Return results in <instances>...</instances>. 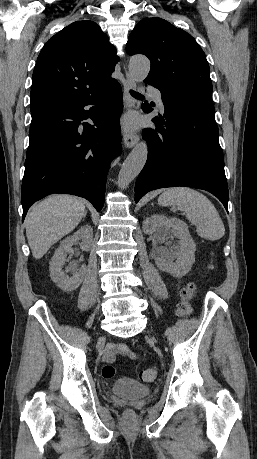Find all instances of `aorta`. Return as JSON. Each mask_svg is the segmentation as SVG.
<instances>
[{
	"instance_id": "762f6f07",
	"label": "aorta",
	"mask_w": 257,
	"mask_h": 459,
	"mask_svg": "<svg viewBox=\"0 0 257 459\" xmlns=\"http://www.w3.org/2000/svg\"><path fill=\"white\" fill-rule=\"evenodd\" d=\"M129 71L134 80L142 82L149 74L150 61L145 56H134L129 62ZM148 155L147 144L142 141L134 147L124 161L118 176L121 189L128 187L144 167Z\"/></svg>"
}]
</instances>
